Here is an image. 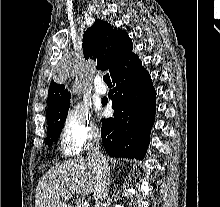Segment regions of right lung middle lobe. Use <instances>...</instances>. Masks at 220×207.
I'll return each mask as SVG.
<instances>
[{"label": "right lung middle lobe", "instance_id": "1", "mask_svg": "<svg viewBox=\"0 0 220 207\" xmlns=\"http://www.w3.org/2000/svg\"><path fill=\"white\" fill-rule=\"evenodd\" d=\"M69 105L70 102L68 100L56 113L47 118L48 133L46 144L48 146H51L52 142L55 141V139L58 138V136L60 135L67 117Z\"/></svg>", "mask_w": 220, "mask_h": 207}]
</instances>
